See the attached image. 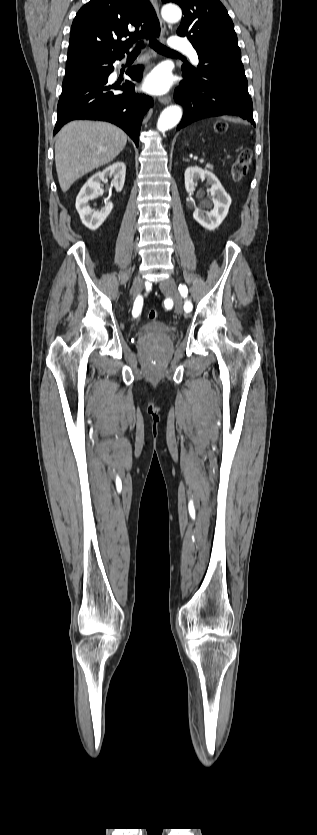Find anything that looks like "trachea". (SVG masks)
Here are the masks:
<instances>
[{"label":"trachea","mask_w":317,"mask_h":835,"mask_svg":"<svg viewBox=\"0 0 317 835\" xmlns=\"http://www.w3.org/2000/svg\"><path fill=\"white\" fill-rule=\"evenodd\" d=\"M142 44H143V42H139L138 46H141ZM150 45L155 51H157L160 54H163V55H178V53L176 51H173V50L167 48L166 46L162 45L154 37H152L150 39ZM139 53H140L139 49H134L130 53V56H137Z\"/></svg>","instance_id":"obj_1"}]
</instances>
